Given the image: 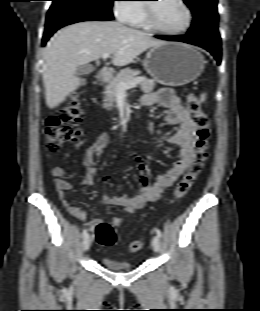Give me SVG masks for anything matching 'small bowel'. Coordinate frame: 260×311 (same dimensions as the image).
<instances>
[{
  "label": "small bowel",
  "mask_w": 260,
  "mask_h": 311,
  "mask_svg": "<svg viewBox=\"0 0 260 311\" xmlns=\"http://www.w3.org/2000/svg\"><path fill=\"white\" fill-rule=\"evenodd\" d=\"M157 104L167 110L165 117L166 122L170 125L178 126V130L168 138L167 142L168 144L179 148V157L166 173L158 174L155 182L150 184L148 177L145 174L146 166L143 162V156L136 151L126 152V157H132L138 162V167L141 171L139 176V187L134 196H104L103 198L106 204L123 207L125 215H132L145 203L157 200L161 193L166 188L173 185V183L183 174L192 161L197 128L191 114L182 105L179 97L175 95L172 89L164 88L149 93L143 99V105L146 107H151ZM147 129L149 133L152 131V125L150 123L147 124ZM108 142L109 134L102 133L82 155L86 167L85 183H91L95 179L98 171V161L94 160L92 156L94 154L100 156ZM161 147L162 145H157L154 149L159 150ZM65 173L66 169L62 166L54 167L51 171L59 198L70 215L80 221H85L87 217L86 212L82 208L72 205L66 194L67 191L72 189V185L64 179ZM107 179L108 176H105L104 180ZM102 220V218H97L86 222V225L90 230H93ZM122 222L123 218L121 216H114L111 219V223L114 226H119Z\"/></svg>",
  "instance_id": "obj_1"
}]
</instances>
